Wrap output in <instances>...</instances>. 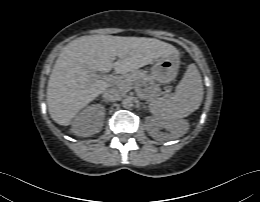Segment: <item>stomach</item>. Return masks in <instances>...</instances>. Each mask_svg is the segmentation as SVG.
Returning a JSON list of instances; mask_svg holds the SVG:
<instances>
[{"instance_id": "0dacf381", "label": "stomach", "mask_w": 260, "mask_h": 202, "mask_svg": "<svg viewBox=\"0 0 260 202\" xmlns=\"http://www.w3.org/2000/svg\"><path fill=\"white\" fill-rule=\"evenodd\" d=\"M179 61L176 55L161 56L155 60L151 72L153 80L160 84L172 81L178 72Z\"/></svg>"}]
</instances>
